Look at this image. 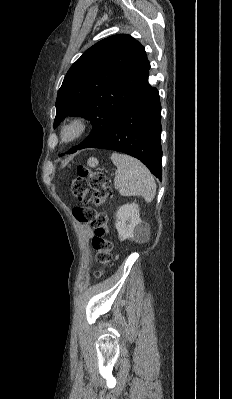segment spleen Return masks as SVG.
<instances>
[{
	"label": "spleen",
	"instance_id": "obj_1",
	"mask_svg": "<svg viewBox=\"0 0 232 399\" xmlns=\"http://www.w3.org/2000/svg\"><path fill=\"white\" fill-rule=\"evenodd\" d=\"M111 160L117 166L114 186L121 196H142L147 203L153 200L157 186L146 166L124 154H112Z\"/></svg>",
	"mask_w": 232,
	"mask_h": 399
}]
</instances>
